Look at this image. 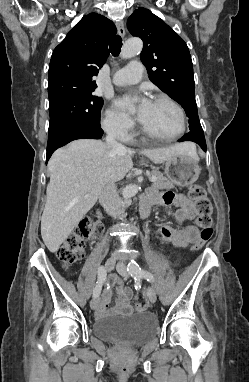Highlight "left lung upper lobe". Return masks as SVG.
<instances>
[{
  "instance_id": "left-lung-upper-lobe-1",
  "label": "left lung upper lobe",
  "mask_w": 249,
  "mask_h": 382,
  "mask_svg": "<svg viewBox=\"0 0 249 382\" xmlns=\"http://www.w3.org/2000/svg\"><path fill=\"white\" fill-rule=\"evenodd\" d=\"M127 26L133 36L143 40L140 58L150 80L184 108L190 132H203L195 101L193 64L186 43L145 8L135 10Z\"/></svg>"
}]
</instances>
